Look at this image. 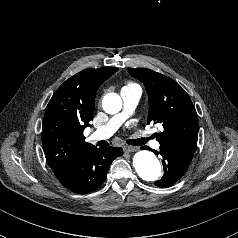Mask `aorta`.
Here are the masks:
<instances>
[{
  "label": "aorta",
  "instance_id": "obj_1",
  "mask_svg": "<svg viewBox=\"0 0 238 238\" xmlns=\"http://www.w3.org/2000/svg\"><path fill=\"white\" fill-rule=\"evenodd\" d=\"M102 107L108 114H116L122 108V99L116 93H109L102 100ZM133 166L138 175L145 181H157L162 175L157 157L150 151L140 150L134 155Z\"/></svg>",
  "mask_w": 238,
  "mask_h": 238
}]
</instances>
